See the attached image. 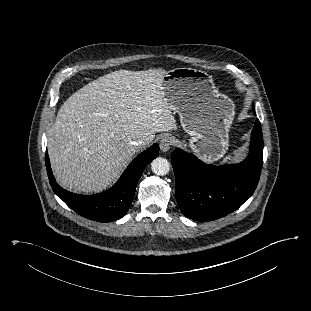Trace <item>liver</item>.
<instances>
[{
	"instance_id": "liver-1",
	"label": "liver",
	"mask_w": 311,
	"mask_h": 311,
	"mask_svg": "<svg viewBox=\"0 0 311 311\" xmlns=\"http://www.w3.org/2000/svg\"><path fill=\"white\" fill-rule=\"evenodd\" d=\"M164 69L118 70L72 94L48 131V154L58 183L77 193L106 189L138 147L131 141L177 130L164 97Z\"/></svg>"
}]
</instances>
